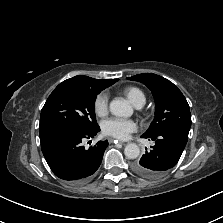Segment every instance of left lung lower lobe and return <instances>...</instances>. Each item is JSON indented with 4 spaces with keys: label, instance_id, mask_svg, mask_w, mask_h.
<instances>
[{
    "label": "left lung lower lobe",
    "instance_id": "0a47b994",
    "mask_svg": "<svg viewBox=\"0 0 223 223\" xmlns=\"http://www.w3.org/2000/svg\"><path fill=\"white\" fill-rule=\"evenodd\" d=\"M155 142L150 151L136 161L133 171L144 178L154 179L164 175L173 168L180 159L186 146L188 134L177 130L168 129L154 136H144Z\"/></svg>",
    "mask_w": 223,
    "mask_h": 223
}]
</instances>
